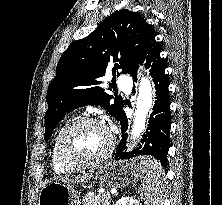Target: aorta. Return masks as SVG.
I'll return each instance as SVG.
<instances>
[{
  "instance_id": "762f6f07",
  "label": "aorta",
  "mask_w": 222,
  "mask_h": 205,
  "mask_svg": "<svg viewBox=\"0 0 222 205\" xmlns=\"http://www.w3.org/2000/svg\"><path fill=\"white\" fill-rule=\"evenodd\" d=\"M153 104V89L150 80L142 77L136 99V108L130 130L131 145H135L146 129V118Z\"/></svg>"
}]
</instances>
